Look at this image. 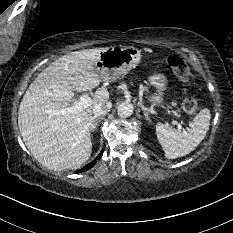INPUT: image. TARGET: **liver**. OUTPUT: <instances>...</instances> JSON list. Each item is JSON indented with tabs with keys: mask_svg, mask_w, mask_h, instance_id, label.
I'll use <instances>...</instances> for the list:
<instances>
[{
	"mask_svg": "<svg viewBox=\"0 0 233 233\" xmlns=\"http://www.w3.org/2000/svg\"><path fill=\"white\" fill-rule=\"evenodd\" d=\"M104 48L68 53L52 62L30 84L18 111L22 139L39 163L50 170L77 169L90 157L93 107L109 99L99 88L89 106L74 113H58L77 103L74 91L97 87L102 78L95 62Z\"/></svg>",
	"mask_w": 233,
	"mask_h": 233,
	"instance_id": "6515ba94",
	"label": "liver"
}]
</instances>
